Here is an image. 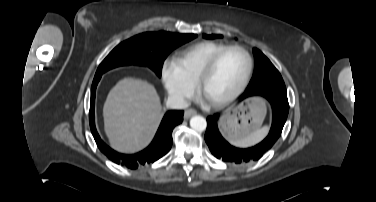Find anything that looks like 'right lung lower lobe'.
Wrapping results in <instances>:
<instances>
[{"mask_svg":"<svg viewBox=\"0 0 376 202\" xmlns=\"http://www.w3.org/2000/svg\"><path fill=\"white\" fill-rule=\"evenodd\" d=\"M100 79L93 80L91 87V101H90V113L89 122L91 132L96 141V144L100 151L107 156L108 159L114 163L125 166L129 169H136L139 165L150 164L158 160L165 154L169 152L172 146V131L174 127L183 121L184 112L181 110H171L168 111L159 129L151 142V144L143 151L136 153L134 155L120 154L110 147H108L99 137L94 118V105H95V92L96 87Z\"/></svg>","mask_w":376,"mask_h":202,"instance_id":"obj_1","label":"right lung lower lobe"}]
</instances>
